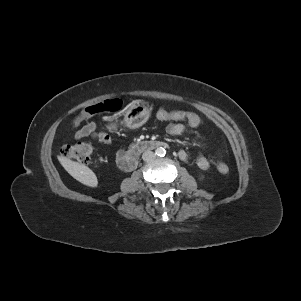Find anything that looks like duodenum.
Returning <instances> with one entry per match:
<instances>
[{
    "instance_id": "obj_1",
    "label": "duodenum",
    "mask_w": 301,
    "mask_h": 301,
    "mask_svg": "<svg viewBox=\"0 0 301 301\" xmlns=\"http://www.w3.org/2000/svg\"><path fill=\"white\" fill-rule=\"evenodd\" d=\"M168 145L163 141L158 140H147L137 143L129 151L125 153L121 162L120 168L125 171L133 170L137 165L138 157L146 151L154 150L157 148H166Z\"/></svg>"
}]
</instances>
